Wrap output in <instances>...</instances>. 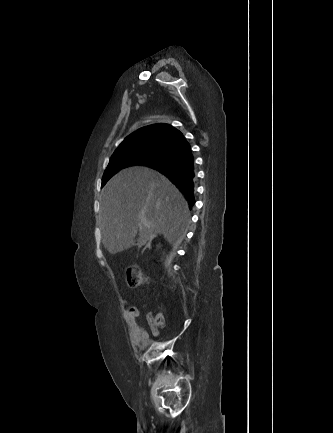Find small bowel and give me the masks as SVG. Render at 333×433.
Here are the masks:
<instances>
[{
	"instance_id": "1",
	"label": "small bowel",
	"mask_w": 333,
	"mask_h": 433,
	"mask_svg": "<svg viewBox=\"0 0 333 433\" xmlns=\"http://www.w3.org/2000/svg\"><path fill=\"white\" fill-rule=\"evenodd\" d=\"M124 313L127 325L129 327V334L132 343L139 349L146 348L150 344V334L140 321L139 309L128 306V304L125 302ZM148 325L151 335L153 337H157L159 335L158 326L150 318H148Z\"/></svg>"
}]
</instances>
